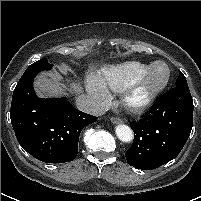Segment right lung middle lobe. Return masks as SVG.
I'll return each mask as SVG.
<instances>
[{"instance_id":"dd1d6c3e","label":"right lung middle lobe","mask_w":201,"mask_h":201,"mask_svg":"<svg viewBox=\"0 0 201 201\" xmlns=\"http://www.w3.org/2000/svg\"><path fill=\"white\" fill-rule=\"evenodd\" d=\"M45 64H48L47 59H40L39 61L31 64L30 66L31 67H37V66H41V65H45Z\"/></svg>"}]
</instances>
